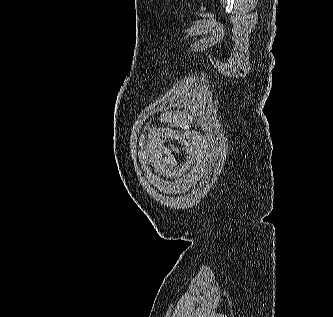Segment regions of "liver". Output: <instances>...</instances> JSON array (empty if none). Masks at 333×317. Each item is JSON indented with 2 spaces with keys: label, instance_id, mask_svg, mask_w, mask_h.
<instances>
[{
  "label": "liver",
  "instance_id": "6515ba94",
  "mask_svg": "<svg viewBox=\"0 0 333 317\" xmlns=\"http://www.w3.org/2000/svg\"><path fill=\"white\" fill-rule=\"evenodd\" d=\"M171 148H172V150H173L174 152H176V153L179 152L178 148H175L174 146H171Z\"/></svg>",
  "mask_w": 333,
  "mask_h": 317
}]
</instances>
